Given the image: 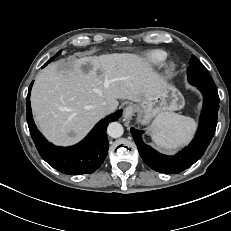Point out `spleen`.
I'll return each instance as SVG.
<instances>
[{
	"label": "spleen",
	"instance_id": "obj_1",
	"mask_svg": "<svg viewBox=\"0 0 231 231\" xmlns=\"http://www.w3.org/2000/svg\"><path fill=\"white\" fill-rule=\"evenodd\" d=\"M152 140L163 149H174L187 143L196 129L195 121L177 113L160 114L152 123Z\"/></svg>",
	"mask_w": 231,
	"mask_h": 231
}]
</instances>
